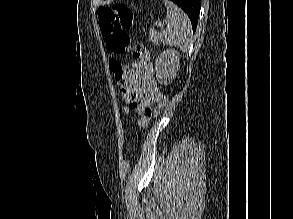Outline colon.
Segmentation results:
<instances>
[{
  "instance_id": "1",
  "label": "colon",
  "mask_w": 293,
  "mask_h": 219,
  "mask_svg": "<svg viewBox=\"0 0 293 219\" xmlns=\"http://www.w3.org/2000/svg\"><path fill=\"white\" fill-rule=\"evenodd\" d=\"M99 27L105 37L107 48L115 54L122 55L131 53L133 57L142 63L148 60V52L143 45L130 44L126 28L130 27L133 15L129 7L118 3L111 7H101L98 9ZM109 69L117 81H121L126 67L117 59L109 61ZM168 102V97L164 96L154 107L152 114L156 117L160 114Z\"/></svg>"
}]
</instances>
